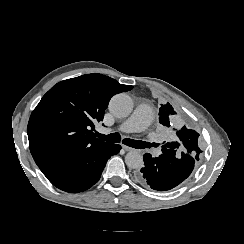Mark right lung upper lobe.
I'll list each match as a JSON object with an SVG mask.
<instances>
[{
  "mask_svg": "<svg viewBox=\"0 0 244 244\" xmlns=\"http://www.w3.org/2000/svg\"><path fill=\"white\" fill-rule=\"evenodd\" d=\"M132 88L98 73L53 86L32 112L27 127L29 147L36 164L40 167L85 148L107 144L92 132L94 123L103 120L113 95Z\"/></svg>",
  "mask_w": 244,
  "mask_h": 244,
  "instance_id": "1",
  "label": "right lung upper lobe"
}]
</instances>
